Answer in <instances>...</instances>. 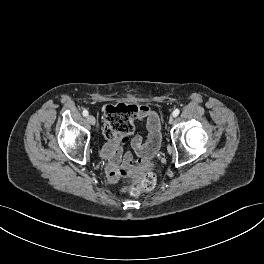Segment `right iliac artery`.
Wrapping results in <instances>:
<instances>
[{
  "mask_svg": "<svg viewBox=\"0 0 264 264\" xmlns=\"http://www.w3.org/2000/svg\"><path fill=\"white\" fill-rule=\"evenodd\" d=\"M82 114H83V116L87 117L88 116V111L85 109V110H83Z\"/></svg>",
  "mask_w": 264,
  "mask_h": 264,
  "instance_id": "right-iliac-artery-1",
  "label": "right iliac artery"
}]
</instances>
